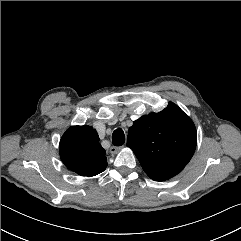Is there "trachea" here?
Masks as SVG:
<instances>
[{
    "label": "trachea",
    "instance_id": "3493384b",
    "mask_svg": "<svg viewBox=\"0 0 241 241\" xmlns=\"http://www.w3.org/2000/svg\"><path fill=\"white\" fill-rule=\"evenodd\" d=\"M125 142L124 132L121 128L116 129L112 134V143L115 146H121Z\"/></svg>",
    "mask_w": 241,
    "mask_h": 241
}]
</instances>
